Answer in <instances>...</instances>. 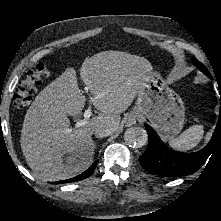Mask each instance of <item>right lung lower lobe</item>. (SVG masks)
I'll return each mask as SVG.
<instances>
[{
    "mask_svg": "<svg viewBox=\"0 0 221 221\" xmlns=\"http://www.w3.org/2000/svg\"><path fill=\"white\" fill-rule=\"evenodd\" d=\"M98 161H96L89 169H87L85 172H83L82 174L71 178V179H67V180H62V181H58L56 183H69V182H76V181H80L82 179H85L87 177H89L93 171L95 170V167L97 165Z\"/></svg>",
    "mask_w": 221,
    "mask_h": 221,
    "instance_id": "98d812e1",
    "label": "right lung lower lobe"
}]
</instances>
